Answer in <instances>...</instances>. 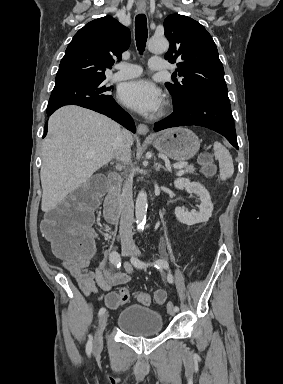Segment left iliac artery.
<instances>
[{
	"mask_svg": "<svg viewBox=\"0 0 283 384\" xmlns=\"http://www.w3.org/2000/svg\"><path fill=\"white\" fill-rule=\"evenodd\" d=\"M132 261H133V265L135 267H138V268H146V267H148L150 265H154V267H156L157 269H160V270H162L163 268L166 269L168 271V277H167L168 282L169 283L173 282V276H172V274H171V272L169 270V264H168L167 261L159 259V260H156L153 263H146V262H143V261H141L139 259L131 258V262ZM174 310H175V312H178L179 311V307L175 306Z\"/></svg>",
	"mask_w": 283,
	"mask_h": 384,
	"instance_id": "obj_1",
	"label": "left iliac artery"
}]
</instances>
